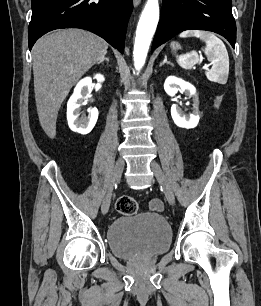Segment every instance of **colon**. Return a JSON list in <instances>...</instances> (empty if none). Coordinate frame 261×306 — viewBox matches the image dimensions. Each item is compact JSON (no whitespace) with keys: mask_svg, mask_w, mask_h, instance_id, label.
I'll return each instance as SVG.
<instances>
[{"mask_svg":"<svg viewBox=\"0 0 261 306\" xmlns=\"http://www.w3.org/2000/svg\"><path fill=\"white\" fill-rule=\"evenodd\" d=\"M223 96L219 95L215 98V106L219 107L222 103ZM116 209L119 213L123 215H133L138 210V205L136 200L128 195H123L119 197L116 201Z\"/></svg>","mask_w":261,"mask_h":306,"instance_id":"1","label":"colon"}]
</instances>
